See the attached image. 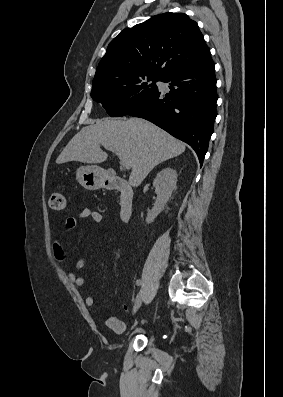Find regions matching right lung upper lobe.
<instances>
[{"label": "right lung upper lobe", "instance_id": "1", "mask_svg": "<svg viewBox=\"0 0 283 397\" xmlns=\"http://www.w3.org/2000/svg\"><path fill=\"white\" fill-rule=\"evenodd\" d=\"M211 59L198 24L184 13H164L124 29L108 45L93 82L152 76L163 80Z\"/></svg>", "mask_w": 283, "mask_h": 397}]
</instances>
